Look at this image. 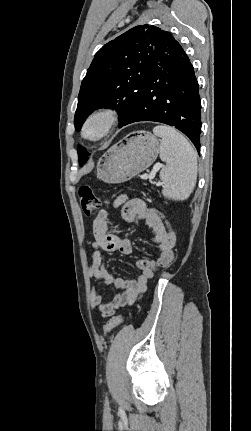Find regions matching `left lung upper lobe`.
I'll return each instance as SVG.
<instances>
[{"label": "left lung upper lobe", "mask_w": 251, "mask_h": 431, "mask_svg": "<svg viewBox=\"0 0 251 431\" xmlns=\"http://www.w3.org/2000/svg\"><path fill=\"white\" fill-rule=\"evenodd\" d=\"M169 32L150 25L136 26L104 45L96 54L82 81L74 117L76 131L94 110L114 109L119 126L127 119L154 64L158 49ZM78 149L79 164L88 152Z\"/></svg>", "instance_id": "1"}]
</instances>
